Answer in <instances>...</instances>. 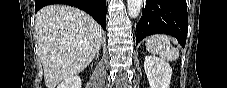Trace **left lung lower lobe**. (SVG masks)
Instances as JSON below:
<instances>
[{"mask_svg": "<svg viewBox=\"0 0 227 88\" xmlns=\"http://www.w3.org/2000/svg\"><path fill=\"white\" fill-rule=\"evenodd\" d=\"M188 29L186 0H146L136 26V45L146 36L166 33L185 46Z\"/></svg>", "mask_w": 227, "mask_h": 88, "instance_id": "1", "label": "left lung lower lobe"}]
</instances>
